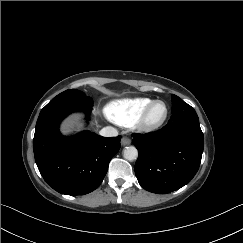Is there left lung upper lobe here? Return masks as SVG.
<instances>
[{
    "mask_svg": "<svg viewBox=\"0 0 243 243\" xmlns=\"http://www.w3.org/2000/svg\"><path fill=\"white\" fill-rule=\"evenodd\" d=\"M172 116L171 119H174L176 117L180 116H186V117H198L195 110L185 103L181 98L178 96L172 94Z\"/></svg>",
    "mask_w": 243,
    "mask_h": 243,
    "instance_id": "obj_1",
    "label": "left lung upper lobe"
}]
</instances>
